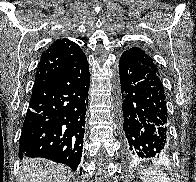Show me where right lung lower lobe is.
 Listing matches in <instances>:
<instances>
[{"label": "right lung lower lobe", "mask_w": 196, "mask_h": 182, "mask_svg": "<svg viewBox=\"0 0 196 182\" xmlns=\"http://www.w3.org/2000/svg\"><path fill=\"white\" fill-rule=\"evenodd\" d=\"M89 82L88 61L83 56L32 90L19 140L20 158L42 157L77 170L82 156Z\"/></svg>", "instance_id": "1"}]
</instances>
